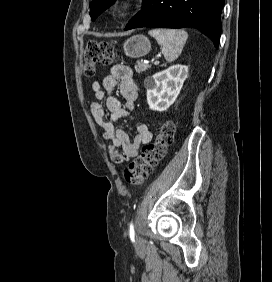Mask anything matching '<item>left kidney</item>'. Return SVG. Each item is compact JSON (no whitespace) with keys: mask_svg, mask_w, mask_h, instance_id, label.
Here are the masks:
<instances>
[{"mask_svg":"<svg viewBox=\"0 0 272 282\" xmlns=\"http://www.w3.org/2000/svg\"><path fill=\"white\" fill-rule=\"evenodd\" d=\"M188 76V67L173 65L144 81L149 108L155 111L167 110L177 99Z\"/></svg>","mask_w":272,"mask_h":282,"instance_id":"5707ae66","label":"left kidney"}]
</instances>
